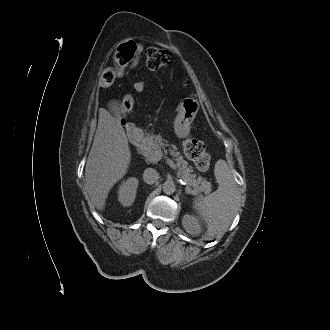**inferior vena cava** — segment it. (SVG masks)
<instances>
[{
	"mask_svg": "<svg viewBox=\"0 0 330 330\" xmlns=\"http://www.w3.org/2000/svg\"><path fill=\"white\" fill-rule=\"evenodd\" d=\"M159 179V174L153 168H147L143 173V180L147 184H154Z\"/></svg>",
	"mask_w": 330,
	"mask_h": 330,
	"instance_id": "inferior-vena-cava-1",
	"label": "inferior vena cava"
}]
</instances>
